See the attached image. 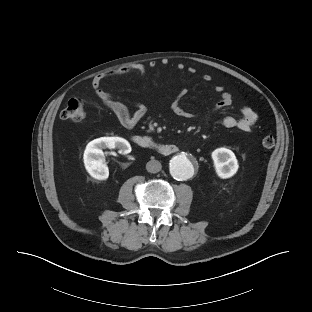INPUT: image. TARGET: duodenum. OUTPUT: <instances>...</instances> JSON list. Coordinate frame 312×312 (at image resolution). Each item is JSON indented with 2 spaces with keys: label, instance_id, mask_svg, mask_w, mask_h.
Segmentation results:
<instances>
[{
  "label": "duodenum",
  "instance_id": "1",
  "mask_svg": "<svg viewBox=\"0 0 312 312\" xmlns=\"http://www.w3.org/2000/svg\"><path fill=\"white\" fill-rule=\"evenodd\" d=\"M132 142L141 148L157 152L162 155L174 154L179 150V146L173 143H159L149 136L136 135L131 138Z\"/></svg>",
  "mask_w": 312,
  "mask_h": 312
}]
</instances>
